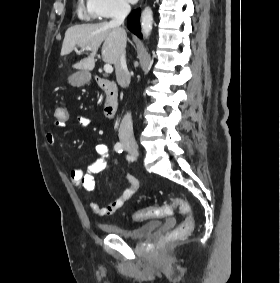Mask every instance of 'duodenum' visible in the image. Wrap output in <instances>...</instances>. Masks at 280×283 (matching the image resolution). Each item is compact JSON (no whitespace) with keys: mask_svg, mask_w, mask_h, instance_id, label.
<instances>
[{"mask_svg":"<svg viewBox=\"0 0 280 283\" xmlns=\"http://www.w3.org/2000/svg\"><path fill=\"white\" fill-rule=\"evenodd\" d=\"M96 80L99 87L103 90L105 95L104 108H103L104 113L107 117L111 118L116 114L119 106L117 85L114 81L106 78L98 77Z\"/></svg>","mask_w":280,"mask_h":283,"instance_id":"1","label":"duodenum"}]
</instances>
